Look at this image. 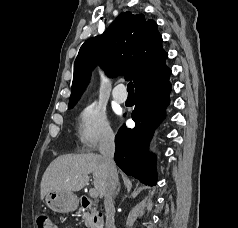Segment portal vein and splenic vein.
Segmentation results:
<instances>
[{"mask_svg":"<svg viewBox=\"0 0 238 228\" xmlns=\"http://www.w3.org/2000/svg\"><path fill=\"white\" fill-rule=\"evenodd\" d=\"M89 193H90V196H91L92 198H97V197H98V191H97L95 188H91V189L89 190Z\"/></svg>","mask_w":238,"mask_h":228,"instance_id":"portal-vein-and-splenic-vein-1","label":"portal vein and splenic vein"}]
</instances>
